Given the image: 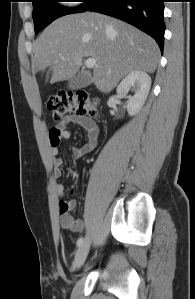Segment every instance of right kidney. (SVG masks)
<instances>
[{"mask_svg":"<svg viewBox=\"0 0 195 299\" xmlns=\"http://www.w3.org/2000/svg\"><path fill=\"white\" fill-rule=\"evenodd\" d=\"M151 87L150 76L140 70L130 72L118 85L117 95L120 98L126 97L128 90L133 89L135 91L134 96L129 97L127 101V111L130 116H134L140 112Z\"/></svg>","mask_w":195,"mask_h":299,"instance_id":"ca27d5eb","label":"right kidney"}]
</instances>
